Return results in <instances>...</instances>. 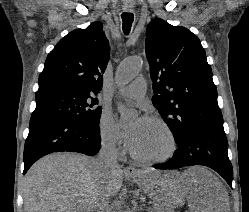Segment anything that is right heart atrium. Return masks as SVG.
<instances>
[{
    "instance_id": "1",
    "label": "right heart atrium",
    "mask_w": 249,
    "mask_h": 212,
    "mask_svg": "<svg viewBox=\"0 0 249 212\" xmlns=\"http://www.w3.org/2000/svg\"><path fill=\"white\" fill-rule=\"evenodd\" d=\"M98 133L102 145L113 154L123 153L124 146L122 138L115 126L111 114L103 111L98 122Z\"/></svg>"
}]
</instances>
